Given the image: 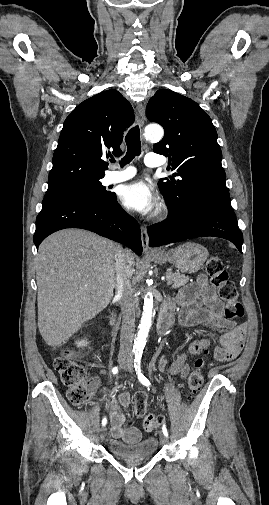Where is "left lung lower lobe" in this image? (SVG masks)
Instances as JSON below:
<instances>
[{
  "label": "left lung lower lobe",
  "instance_id": "1",
  "mask_svg": "<svg viewBox=\"0 0 269 505\" xmlns=\"http://www.w3.org/2000/svg\"><path fill=\"white\" fill-rule=\"evenodd\" d=\"M168 206V218L148 227L149 246L157 247L185 239L214 236L227 239L242 253L243 236L230 203V196L195 191L188 208Z\"/></svg>",
  "mask_w": 269,
  "mask_h": 505
}]
</instances>
